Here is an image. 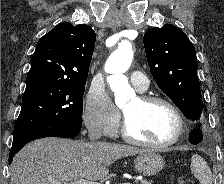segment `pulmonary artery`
Listing matches in <instances>:
<instances>
[{"label":"pulmonary artery","mask_w":224,"mask_h":184,"mask_svg":"<svg viewBox=\"0 0 224 184\" xmlns=\"http://www.w3.org/2000/svg\"><path fill=\"white\" fill-rule=\"evenodd\" d=\"M129 78L136 90H138L139 92L147 90L149 81L142 72L133 71L129 74Z\"/></svg>","instance_id":"e3ab8cb5"}]
</instances>
